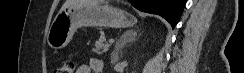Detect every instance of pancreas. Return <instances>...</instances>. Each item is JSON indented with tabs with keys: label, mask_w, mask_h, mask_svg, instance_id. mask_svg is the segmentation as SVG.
Masks as SVG:
<instances>
[{
	"label": "pancreas",
	"mask_w": 244,
	"mask_h": 73,
	"mask_svg": "<svg viewBox=\"0 0 244 73\" xmlns=\"http://www.w3.org/2000/svg\"><path fill=\"white\" fill-rule=\"evenodd\" d=\"M109 45L106 42V38L101 36L98 41L95 43V48H93V52L97 55H102L107 52Z\"/></svg>",
	"instance_id": "pancreas-1"
}]
</instances>
